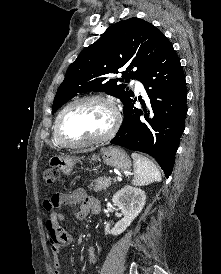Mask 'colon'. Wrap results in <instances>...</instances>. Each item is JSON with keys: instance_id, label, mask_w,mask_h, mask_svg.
<instances>
[{"instance_id": "colon-1", "label": "colon", "mask_w": 221, "mask_h": 274, "mask_svg": "<svg viewBox=\"0 0 221 274\" xmlns=\"http://www.w3.org/2000/svg\"><path fill=\"white\" fill-rule=\"evenodd\" d=\"M42 179L46 186H52L58 179V171L53 168H47L42 173Z\"/></svg>"}]
</instances>
